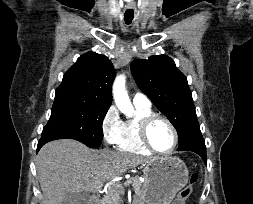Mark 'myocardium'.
<instances>
[{"label":"myocardium","mask_w":253,"mask_h":204,"mask_svg":"<svg viewBox=\"0 0 253 204\" xmlns=\"http://www.w3.org/2000/svg\"><path fill=\"white\" fill-rule=\"evenodd\" d=\"M157 120H162L164 121L169 128L172 131L173 134V145L172 147L167 150V151H160L157 150L152 143L150 142L149 139V129L150 126ZM139 134H140V139L141 142L143 143V145L152 153L158 154V155H163V156H168L171 155L172 153H174V151L176 150L177 146H178V142H179V136H178V132L177 129L175 128L174 124L170 121V119H168L167 117L160 115V114H151L145 118H143L140 121V125H139Z\"/></svg>","instance_id":"obj_1"}]
</instances>
